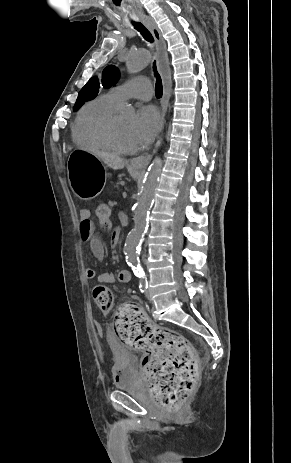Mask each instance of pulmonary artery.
<instances>
[{"mask_svg":"<svg viewBox=\"0 0 291 463\" xmlns=\"http://www.w3.org/2000/svg\"><path fill=\"white\" fill-rule=\"evenodd\" d=\"M110 93L119 104L131 98L148 101L152 97V85L149 78L139 76L112 88Z\"/></svg>","mask_w":291,"mask_h":463,"instance_id":"obj_1","label":"pulmonary artery"}]
</instances>
